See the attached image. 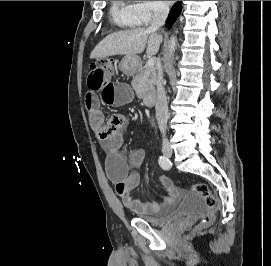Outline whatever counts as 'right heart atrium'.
Here are the masks:
<instances>
[{
	"mask_svg": "<svg viewBox=\"0 0 271 266\" xmlns=\"http://www.w3.org/2000/svg\"><path fill=\"white\" fill-rule=\"evenodd\" d=\"M139 24H149L166 11L162 1H140L132 4Z\"/></svg>",
	"mask_w": 271,
	"mask_h": 266,
	"instance_id": "obj_1",
	"label": "right heart atrium"
}]
</instances>
